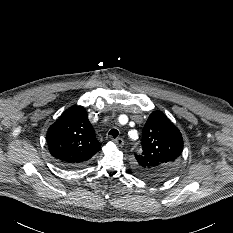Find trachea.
Returning a JSON list of instances; mask_svg holds the SVG:
<instances>
[{"label":"trachea","mask_w":233,"mask_h":233,"mask_svg":"<svg viewBox=\"0 0 233 233\" xmlns=\"http://www.w3.org/2000/svg\"><path fill=\"white\" fill-rule=\"evenodd\" d=\"M119 132L117 129H111L109 131V135H111L113 138H116L118 136Z\"/></svg>","instance_id":"3493384b"}]
</instances>
